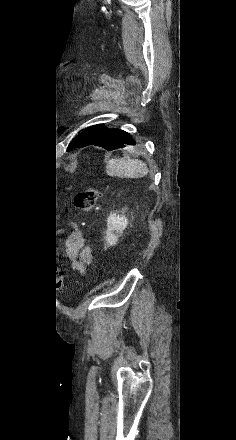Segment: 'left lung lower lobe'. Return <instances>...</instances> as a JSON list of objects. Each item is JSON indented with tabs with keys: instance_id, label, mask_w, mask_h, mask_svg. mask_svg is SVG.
Instances as JSON below:
<instances>
[{
	"instance_id": "obj_1",
	"label": "left lung lower lobe",
	"mask_w": 236,
	"mask_h": 440,
	"mask_svg": "<svg viewBox=\"0 0 236 440\" xmlns=\"http://www.w3.org/2000/svg\"><path fill=\"white\" fill-rule=\"evenodd\" d=\"M129 133L120 129H107L103 125H95L85 129L77 135L69 144L68 150L95 145L105 148L106 150H114L123 148L126 145H135Z\"/></svg>"
}]
</instances>
